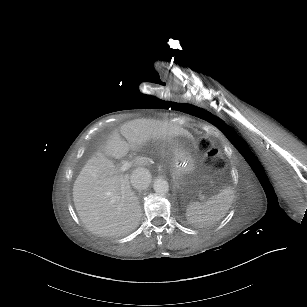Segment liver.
I'll return each mask as SVG.
<instances>
[{
    "instance_id": "liver-1",
    "label": "liver",
    "mask_w": 307,
    "mask_h": 307,
    "mask_svg": "<svg viewBox=\"0 0 307 307\" xmlns=\"http://www.w3.org/2000/svg\"><path fill=\"white\" fill-rule=\"evenodd\" d=\"M175 137L193 140L192 134L179 125L135 119L113 131L106 142L105 152L119 160L130 150L137 151L157 140L171 142ZM146 165L147 158L135 159V166ZM114 167L104 155L93 156L73 186V201L80 220L89 231L100 236L128 234L138 227L142 216L138 197L130 185V175H117Z\"/></svg>"
}]
</instances>
